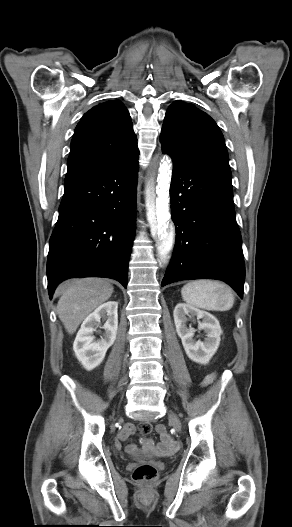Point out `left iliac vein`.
Listing matches in <instances>:
<instances>
[{
	"instance_id": "4c4485c4",
	"label": "left iliac vein",
	"mask_w": 292,
	"mask_h": 527,
	"mask_svg": "<svg viewBox=\"0 0 292 527\" xmlns=\"http://www.w3.org/2000/svg\"><path fill=\"white\" fill-rule=\"evenodd\" d=\"M169 419L172 422V424L174 425V427L178 431H180L181 430L180 420H179L178 416L173 411H169Z\"/></svg>"
}]
</instances>
